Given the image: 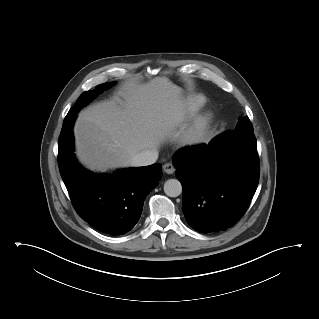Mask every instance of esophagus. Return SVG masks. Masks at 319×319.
<instances>
[{"mask_svg": "<svg viewBox=\"0 0 319 319\" xmlns=\"http://www.w3.org/2000/svg\"><path fill=\"white\" fill-rule=\"evenodd\" d=\"M163 170L167 174H173L175 171V168L172 163H166L163 165Z\"/></svg>", "mask_w": 319, "mask_h": 319, "instance_id": "34e87169", "label": "esophagus"}]
</instances>
